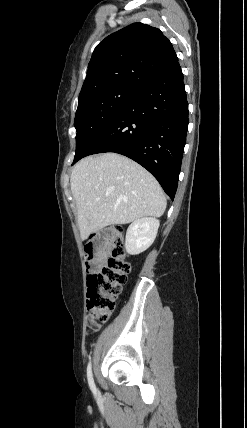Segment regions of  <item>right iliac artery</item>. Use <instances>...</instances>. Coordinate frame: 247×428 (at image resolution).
I'll list each match as a JSON object with an SVG mask.
<instances>
[{
    "mask_svg": "<svg viewBox=\"0 0 247 428\" xmlns=\"http://www.w3.org/2000/svg\"><path fill=\"white\" fill-rule=\"evenodd\" d=\"M87 378H88V383H89L90 389L92 390V392L94 394H96V387H95L94 380H93L91 362H89L88 366H87Z\"/></svg>",
    "mask_w": 247,
    "mask_h": 428,
    "instance_id": "1",
    "label": "right iliac artery"
}]
</instances>
